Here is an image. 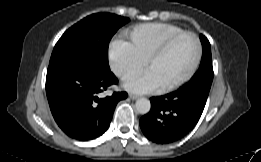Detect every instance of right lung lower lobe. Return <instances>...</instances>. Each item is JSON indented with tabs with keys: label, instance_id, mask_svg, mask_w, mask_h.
Segmentation results:
<instances>
[{
	"label": "right lung lower lobe",
	"instance_id": "obj_1",
	"mask_svg": "<svg viewBox=\"0 0 261 162\" xmlns=\"http://www.w3.org/2000/svg\"><path fill=\"white\" fill-rule=\"evenodd\" d=\"M118 82L109 67L82 57L49 65L46 94L58 126L70 137L82 141L101 136L109 127L116 104L126 92L110 97L98 94Z\"/></svg>",
	"mask_w": 261,
	"mask_h": 162
}]
</instances>
